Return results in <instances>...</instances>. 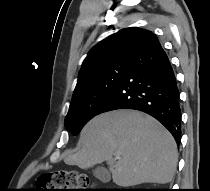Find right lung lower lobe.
<instances>
[{
  "instance_id": "1",
  "label": "right lung lower lobe",
  "mask_w": 210,
  "mask_h": 191,
  "mask_svg": "<svg viewBox=\"0 0 210 191\" xmlns=\"http://www.w3.org/2000/svg\"><path fill=\"white\" fill-rule=\"evenodd\" d=\"M116 109H135L153 116L180 143L179 90L169 58L155 34L131 59L98 114Z\"/></svg>"
}]
</instances>
